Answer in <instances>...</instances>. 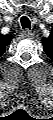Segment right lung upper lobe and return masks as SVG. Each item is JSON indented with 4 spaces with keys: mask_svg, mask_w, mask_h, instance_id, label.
I'll list each match as a JSON object with an SVG mask.
<instances>
[{
    "mask_svg": "<svg viewBox=\"0 0 53 120\" xmlns=\"http://www.w3.org/2000/svg\"><path fill=\"white\" fill-rule=\"evenodd\" d=\"M11 37L0 34V56L5 52V47L10 43Z\"/></svg>",
    "mask_w": 53,
    "mask_h": 120,
    "instance_id": "cb5924a9",
    "label": "right lung upper lobe"
}]
</instances>
